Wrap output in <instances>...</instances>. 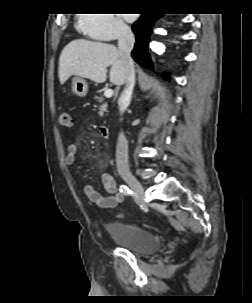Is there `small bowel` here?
<instances>
[{"label": "small bowel", "instance_id": "small-bowel-1", "mask_svg": "<svg viewBox=\"0 0 252 303\" xmlns=\"http://www.w3.org/2000/svg\"><path fill=\"white\" fill-rule=\"evenodd\" d=\"M77 143H70L67 147V154L65 157V163L68 166H74L77 160ZM101 183L108 193V195H102L97 192L91 185L85 187V194L87 198L100 209H110L116 207L118 204L124 201V194L120 192L115 178L109 173H103L101 175Z\"/></svg>", "mask_w": 252, "mask_h": 303}]
</instances>
